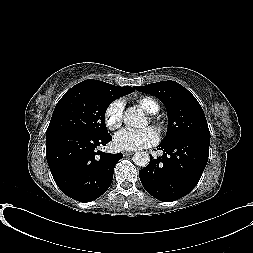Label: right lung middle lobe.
<instances>
[{"instance_id":"1","label":"right lung middle lobe","mask_w":253,"mask_h":253,"mask_svg":"<svg viewBox=\"0 0 253 253\" xmlns=\"http://www.w3.org/2000/svg\"><path fill=\"white\" fill-rule=\"evenodd\" d=\"M129 93L113 86L76 84L57 103L46 137L64 132L107 134L104 117L109 104Z\"/></svg>"}]
</instances>
